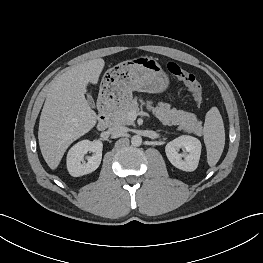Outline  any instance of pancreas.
<instances>
[{
  "mask_svg": "<svg viewBox=\"0 0 263 263\" xmlns=\"http://www.w3.org/2000/svg\"><path fill=\"white\" fill-rule=\"evenodd\" d=\"M142 105L153 112V114L160 120L163 125H178V130H184L187 133H194L197 136L202 135V121L197 120L195 114L185 112L183 110L171 109L167 103L160 102L157 107L152 106L151 101L146 103L140 99ZM139 104L137 98L133 99L130 103L123 105L115 110L112 114V122L115 125H133L134 120L129 116L130 112L138 111Z\"/></svg>",
  "mask_w": 263,
  "mask_h": 263,
  "instance_id": "obj_1",
  "label": "pancreas"
}]
</instances>
